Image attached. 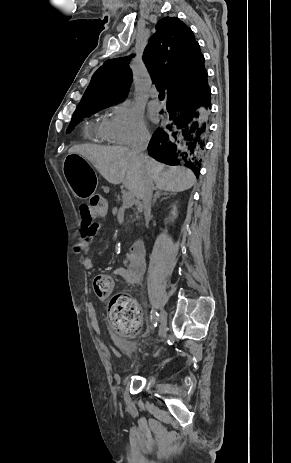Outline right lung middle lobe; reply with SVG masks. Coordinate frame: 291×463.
Masks as SVG:
<instances>
[{"label": "right lung middle lobe", "instance_id": "right-lung-middle-lobe-1", "mask_svg": "<svg viewBox=\"0 0 291 463\" xmlns=\"http://www.w3.org/2000/svg\"><path fill=\"white\" fill-rule=\"evenodd\" d=\"M114 104L116 103H110V104H104V105H98V106H85V107L77 108L72 116V120L70 122V126L67 129V132L71 131L73 126L79 123L81 119L85 117L86 115L97 112L98 110L107 108L108 106H111Z\"/></svg>", "mask_w": 291, "mask_h": 463}]
</instances>
